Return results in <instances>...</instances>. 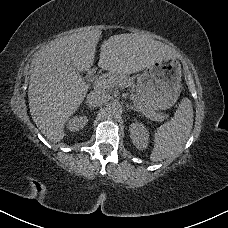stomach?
<instances>
[{"label": "stomach", "instance_id": "stomach-1", "mask_svg": "<svg viewBox=\"0 0 228 228\" xmlns=\"http://www.w3.org/2000/svg\"><path fill=\"white\" fill-rule=\"evenodd\" d=\"M181 89V65L176 59L158 62L137 77V99L144 102L150 111L172 107Z\"/></svg>", "mask_w": 228, "mask_h": 228}]
</instances>
